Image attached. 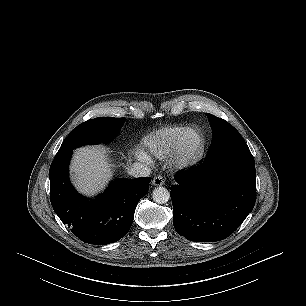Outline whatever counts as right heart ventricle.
<instances>
[{
    "label": "right heart ventricle",
    "mask_w": 306,
    "mask_h": 306,
    "mask_svg": "<svg viewBox=\"0 0 306 306\" xmlns=\"http://www.w3.org/2000/svg\"><path fill=\"white\" fill-rule=\"evenodd\" d=\"M186 129L184 126H169L148 134L143 145L156 158H165L174 152L178 139Z\"/></svg>",
    "instance_id": "obj_1"
}]
</instances>
